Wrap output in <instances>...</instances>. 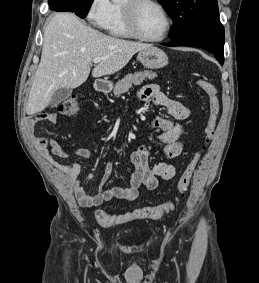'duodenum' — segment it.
Returning <instances> with one entry per match:
<instances>
[{"mask_svg":"<svg viewBox=\"0 0 259 283\" xmlns=\"http://www.w3.org/2000/svg\"><path fill=\"white\" fill-rule=\"evenodd\" d=\"M95 89L99 93H106L109 90V85L102 80H98L95 83Z\"/></svg>","mask_w":259,"mask_h":283,"instance_id":"duodenum-1","label":"duodenum"}]
</instances>
